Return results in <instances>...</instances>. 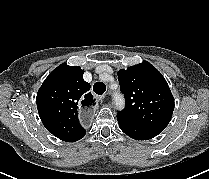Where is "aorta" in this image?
Wrapping results in <instances>:
<instances>
[{
	"label": "aorta",
	"mask_w": 209,
	"mask_h": 179,
	"mask_svg": "<svg viewBox=\"0 0 209 179\" xmlns=\"http://www.w3.org/2000/svg\"><path fill=\"white\" fill-rule=\"evenodd\" d=\"M114 104H115L117 109H119V110L123 109L124 104H125L123 96L115 94L114 95Z\"/></svg>",
	"instance_id": "obj_1"
}]
</instances>
